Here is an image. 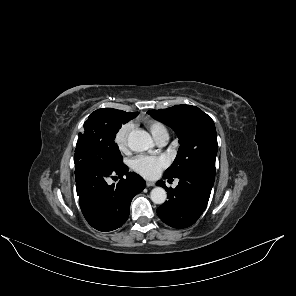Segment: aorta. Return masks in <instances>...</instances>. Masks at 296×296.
I'll return each instance as SVG.
<instances>
[{"mask_svg": "<svg viewBox=\"0 0 296 296\" xmlns=\"http://www.w3.org/2000/svg\"><path fill=\"white\" fill-rule=\"evenodd\" d=\"M128 146L132 151L143 152L154 146L151 136L144 131H135L128 138ZM150 198L155 204H163L167 193L162 187H155L150 192Z\"/></svg>", "mask_w": 296, "mask_h": 296, "instance_id": "1", "label": "aorta"}]
</instances>
